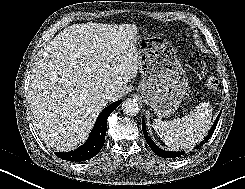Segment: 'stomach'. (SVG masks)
Listing matches in <instances>:
<instances>
[{
    "label": "stomach",
    "instance_id": "stomach-1",
    "mask_svg": "<svg viewBox=\"0 0 245 189\" xmlns=\"http://www.w3.org/2000/svg\"><path fill=\"white\" fill-rule=\"evenodd\" d=\"M133 45L142 77L138 92L143 101L158 117L173 114L188 90V78L176 49L167 41L141 35Z\"/></svg>",
    "mask_w": 245,
    "mask_h": 189
}]
</instances>
